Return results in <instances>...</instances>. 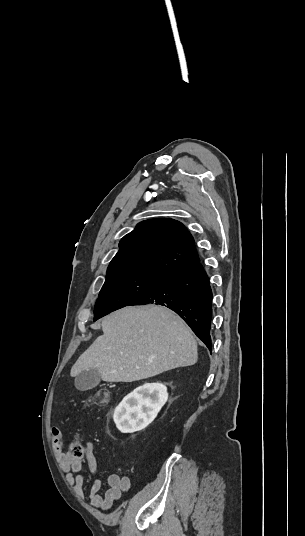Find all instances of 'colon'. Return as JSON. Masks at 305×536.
<instances>
[{
  "label": "colon",
  "instance_id": "5ec220e1",
  "mask_svg": "<svg viewBox=\"0 0 305 536\" xmlns=\"http://www.w3.org/2000/svg\"><path fill=\"white\" fill-rule=\"evenodd\" d=\"M108 401H109V391L103 389L89 396L85 401V405L90 404V405L102 406V405H106ZM72 447L75 448L76 452L79 454H84L88 450V447L86 444L79 443L78 441H73Z\"/></svg>",
  "mask_w": 305,
  "mask_h": 536
}]
</instances>
